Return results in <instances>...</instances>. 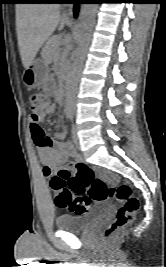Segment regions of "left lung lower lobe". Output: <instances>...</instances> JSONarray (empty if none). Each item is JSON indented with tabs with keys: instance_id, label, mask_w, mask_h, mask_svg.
<instances>
[{
	"instance_id": "0a47b994",
	"label": "left lung lower lobe",
	"mask_w": 166,
	"mask_h": 267,
	"mask_svg": "<svg viewBox=\"0 0 166 267\" xmlns=\"http://www.w3.org/2000/svg\"><path fill=\"white\" fill-rule=\"evenodd\" d=\"M53 3H62L61 1H55V2H53Z\"/></svg>"
}]
</instances>
